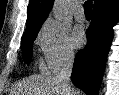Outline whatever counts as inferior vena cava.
Masks as SVG:
<instances>
[{"mask_svg": "<svg viewBox=\"0 0 119 95\" xmlns=\"http://www.w3.org/2000/svg\"><path fill=\"white\" fill-rule=\"evenodd\" d=\"M74 62V53L67 52L62 59L61 71L57 74V78L64 81L68 89L71 90V73Z\"/></svg>", "mask_w": 119, "mask_h": 95, "instance_id": "inferior-vena-cava-1", "label": "inferior vena cava"}]
</instances>
